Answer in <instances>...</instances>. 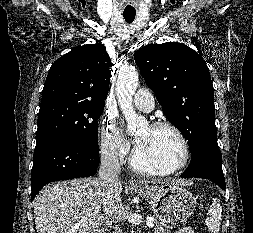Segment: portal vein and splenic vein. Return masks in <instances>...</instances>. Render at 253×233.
Masks as SVG:
<instances>
[{
	"label": "portal vein and splenic vein",
	"mask_w": 253,
	"mask_h": 233,
	"mask_svg": "<svg viewBox=\"0 0 253 233\" xmlns=\"http://www.w3.org/2000/svg\"><path fill=\"white\" fill-rule=\"evenodd\" d=\"M147 226L148 227H154V223L152 222V220L147 221Z\"/></svg>",
	"instance_id": "18ae733b"
}]
</instances>
